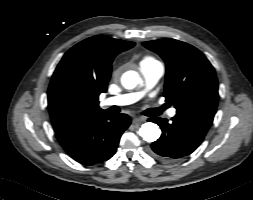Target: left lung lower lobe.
<instances>
[{
    "label": "left lung lower lobe",
    "mask_w": 253,
    "mask_h": 200,
    "mask_svg": "<svg viewBox=\"0 0 253 200\" xmlns=\"http://www.w3.org/2000/svg\"><path fill=\"white\" fill-rule=\"evenodd\" d=\"M162 130L161 137L151 144L150 154L172 161L191 154L203 141L212 122L196 116L177 113L171 121L150 118Z\"/></svg>",
    "instance_id": "left-lung-lower-lobe-1"
}]
</instances>
